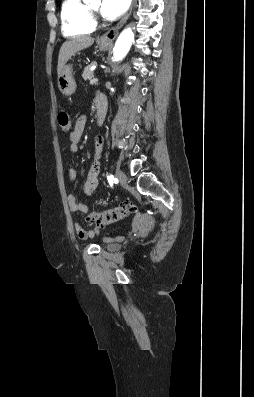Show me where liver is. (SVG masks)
Masks as SVG:
<instances>
[{"label": "liver", "mask_w": 254, "mask_h": 397, "mask_svg": "<svg viewBox=\"0 0 254 397\" xmlns=\"http://www.w3.org/2000/svg\"><path fill=\"white\" fill-rule=\"evenodd\" d=\"M94 43V38L90 36H78L65 41L59 51L57 73L61 72L64 65L76 52L90 47Z\"/></svg>", "instance_id": "liver-1"}]
</instances>
